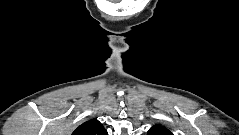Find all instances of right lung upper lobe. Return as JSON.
Listing matches in <instances>:
<instances>
[{"label": "right lung upper lobe", "instance_id": "1", "mask_svg": "<svg viewBox=\"0 0 239 135\" xmlns=\"http://www.w3.org/2000/svg\"><path fill=\"white\" fill-rule=\"evenodd\" d=\"M72 135H108L103 125L96 119L81 124Z\"/></svg>", "mask_w": 239, "mask_h": 135}]
</instances>
